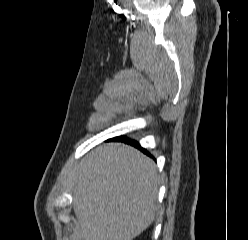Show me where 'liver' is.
I'll list each match as a JSON object with an SVG mask.
<instances>
[{
  "mask_svg": "<svg viewBox=\"0 0 248 240\" xmlns=\"http://www.w3.org/2000/svg\"><path fill=\"white\" fill-rule=\"evenodd\" d=\"M75 178L74 213L84 240H133L154 221L157 173L153 161L134 148H96Z\"/></svg>",
  "mask_w": 248,
  "mask_h": 240,
  "instance_id": "1",
  "label": "liver"
}]
</instances>
